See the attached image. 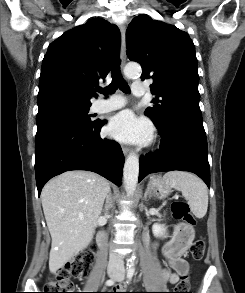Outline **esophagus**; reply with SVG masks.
<instances>
[{
	"label": "esophagus",
	"mask_w": 245,
	"mask_h": 293,
	"mask_svg": "<svg viewBox=\"0 0 245 293\" xmlns=\"http://www.w3.org/2000/svg\"><path fill=\"white\" fill-rule=\"evenodd\" d=\"M119 29L121 32V67L123 68L126 63V27L123 23L119 24ZM122 151L124 155H127L130 149L126 146H122Z\"/></svg>",
	"instance_id": "1"
}]
</instances>
